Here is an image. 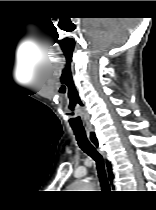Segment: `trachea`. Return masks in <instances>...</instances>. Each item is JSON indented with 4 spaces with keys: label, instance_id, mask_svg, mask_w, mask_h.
<instances>
[{
    "label": "trachea",
    "instance_id": "obj_1",
    "mask_svg": "<svg viewBox=\"0 0 156 210\" xmlns=\"http://www.w3.org/2000/svg\"><path fill=\"white\" fill-rule=\"evenodd\" d=\"M79 147L95 160L97 165L98 177L103 187H109L106 169L102 155L88 140L85 131H74Z\"/></svg>",
    "mask_w": 156,
    "mask_h": 210
}]
</instances>
